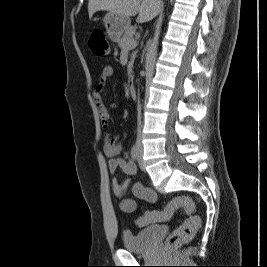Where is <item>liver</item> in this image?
Masks as SVG:
<instances>
[{
  "label": "liver",
  "instance_id": "6515ba94",
  "mask_svg": "<svg viewBox=\"0 0 267 267\" xmlns=\"http://www.w3.org/2000/svg\"><path fill=\"white\" fill-rule=\"evenodd\" d=\"M160 0H89V18L97 11H109L124 17H137L138 23L151 21L160 10Z\"/></svg>",
  "mask_w": 267,
  "mask_h": 267
}]
</instances>
